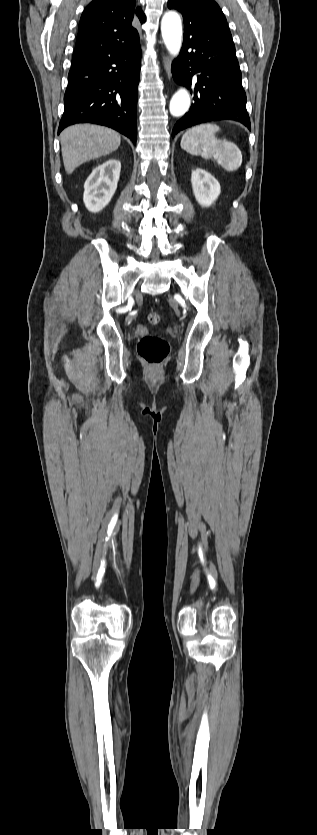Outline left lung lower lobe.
I'll return each mask as SVG.
<instances>
[{"mask_svg": "<svg viewBox=\"0 0 317 835\" xmlns=\"http://www.w3.org/2000/svg\"><path fill=\"white\" fill-rule=\"evenodd\" d=\"M172 74L177 83L191 89L195 100L189 112L175 124L172 137L188 127L217 120H235L251 129L241 71L229 31L212 25H197L185 31L180 56L172 64Z\"/></svg>", "mask_w": 317, "mask_h": 835, "instance_id": "obj_1", "label": "left lung lower lobe"}]
</instances>
